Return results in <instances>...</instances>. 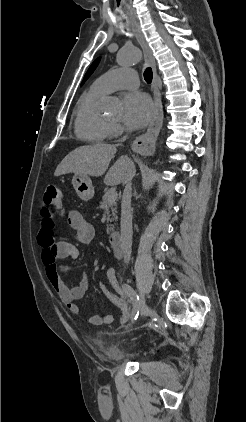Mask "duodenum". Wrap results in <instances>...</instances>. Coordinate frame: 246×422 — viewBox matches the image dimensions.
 Here are the masks:
<instances>
[{"label": "duodenum", "mask_w": 246, "mask_h": 422, "mask_svg": "<svg viewBox=\"0 0 246 422\" xmlns=\"http://www.w3.org/2000/svg\"><path fill=\"white\" fill-rule=\"evenodd\" d=\"M109 243L116 257L120 258L123 255V248L121 242V235L119 232H113L109 236Z\"/></svg>", "instance_id": "410a0bca"}]
</instances>
